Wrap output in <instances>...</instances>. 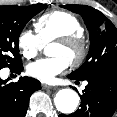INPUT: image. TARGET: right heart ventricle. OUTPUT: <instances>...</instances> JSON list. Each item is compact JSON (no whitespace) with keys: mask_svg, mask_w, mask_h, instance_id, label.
Segmentation results:
<instances>
[{"mask_svg":"<svg viewBox=\"0 0 117 117\" xmlns=\"http://www.w3.org/2000/svg\"><path fill=\"white\" fill-rule=\"evenodd\" d=\"M36 33L43 44L67 35L83 34L79 19L72 13L55 10L45 13L35 21Z\"/></svg>","mask_w":117,"mask_h":117,"instance_id":"e07e8e85","label":"right heart ventricle"}]
</instances>
